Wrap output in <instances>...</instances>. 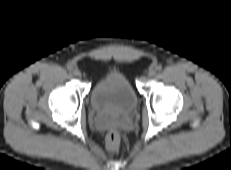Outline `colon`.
Returning <instances> with one entry per match:
<instances>
[{"label":"colon","instance_id":"colon-1","mask_svg":"<svg viewBox=\"0 0 231 170\" xmlns=\"http://www.w3.org/2000/svg\"><path fill=\"white\" fill-rule=\"evenodd\" d=\"M121 144V134L113 130L111 131L106 138V147L109 151H116Z\"/></svg>","mask_w":231,"mask_h":170}]
</instances>
